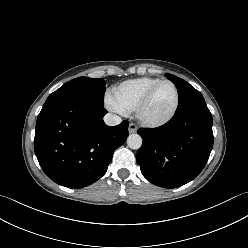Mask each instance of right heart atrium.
<instances>
[{
	"label": "right heart atrium",
	"instance_id": "d8ad5b80",
	"mask_svg": "<svg viewBox=\"0 0 248 248\" xmlns=\"http://www.w3.org/2000/svg\"><path fill=\"white\" fill-rule=\"evenodd\" d=\"M106 104H107L109 109L114 110V111H118V112H122V110L116 105V103L112 100L111 97H107Z\"/></svg>",
	"mask_w": 248,
	"mask_h": 248
}]
</instances>
